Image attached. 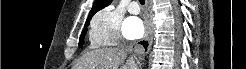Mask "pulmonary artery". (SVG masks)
Segmentation results:
<instances>
[{"label": "pulmonary artery", "instance_id": "obj_1", "mask_svg": "<svg viewBox=\"0 0 246 69\" xmlns=\"http://www.w3.org/2000/svg\"><path fill=\"white\" fill-rule=\"evenodd\" d=\"M128 11H129L131 14H138V13H139V7H138L137 3H136V2H132V3L129 5Z\"/></svg>", "mask_w": 246, "mask_h": 69}]
</instances>
